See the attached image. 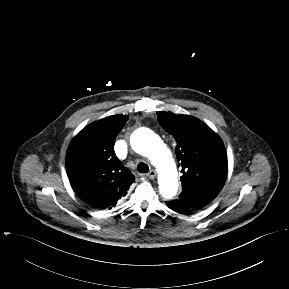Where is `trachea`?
Returning <instances> with one entry per match:
<instances>
[{
    "label": "trachea",
    "instance_id": "3493384b",
    "mask_svg": "<svg viewBox=\"0 0 289 289\" xmlns=\"http://www.w3.org/2000/svg\"><path fill=\"white\" fill-rule=\"evenodd\" d=\"M137 171L139 173H147V172H149V167H148V165L146 163L140 162L137 165Z\"/></svg>",
    "mask_w": 289,
    "mask_h": 289
}]
</instances>
